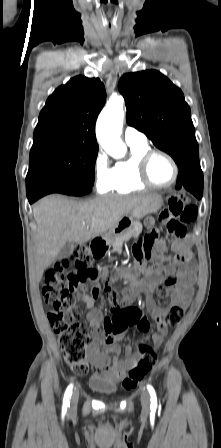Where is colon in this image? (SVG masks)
I'll return each mask as SVG.
<instances>
[{
  "mask_svg": "<svg viewBox=\"0 0 221 448\" xmlns=\"http://www.w3.org/2000/svg\"><path fill=\"white\" fill-rule=\"evenodd\" d=\"M197 217V209L189 203L185 196L171 195L168 198V205L161 214L162 220L168 233L179 239L187 235V226L193 223ZM153 236L146 237L137 246L136 256L140 263L152 257L151 247ZM194 257L193 251H187L178 255L176 261H189ZM98 278V271L91 266V253L89 246L80 244L74 247L71 255L56 267L46 272L43 285L42 296L46 304L51 307L49 321L54 332L59 337L61 350L71 369L79 374L88 372L86 361V346L91 342V335L86 326L79 321L80 313L75 308V302L90 285L95 284ZM175 284V277L168 274L164 278L165 288L160 290L162 298L167 295V287ZM108 296L111 301H115L112 288H109ZM126 320L121 322L119 327H114L110 323H105L108 331L122 328L124 326H136L138 331L147 335L150 332V322L145 314L134 306H129L124 310ZM183 316V309L173 306L162 318L165 325H176ZM139 351L142 358L130 369L127 378L123 381V386L131 390L144 378L156 363V353L154 349L139 342Z\"/></svg>",
  "mask_w": 221,
  "mask_h": 448,
  "instance_id": "obj_1",
  "label": "colon"
}]
</instances>
